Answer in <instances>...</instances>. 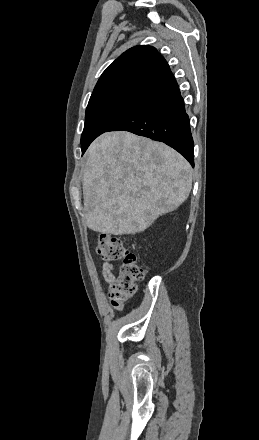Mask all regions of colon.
<instances>
[{
    "label": "colon",
    "mask_w": 259,
    "mask_h": 440,
    "mask_svg": "<svg viewBox=\"0 0 259 440\" xmlns=\"http://www.w3.org/2000/svg\"><path fill=\"white\" fill-rule=\"evenodd\" d=\"M97 254L107 262L121 261L119 273L111 282L109 297L116 309H121L137 290V282L144 277V269L134 253L115 236L102 234L97 245Z\"/></svg>",
    "instance_id": "5ec220e1"
}]
</instances>
